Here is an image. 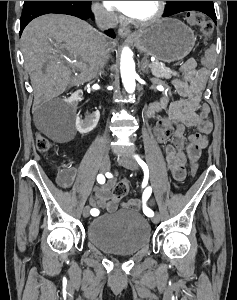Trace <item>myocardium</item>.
Here are the masks:
<instances>
[{
	"label": "myocardium",
	"instance_id": "1",
	"mask_svg": "<svg viewBox=\"0 0 237 300\" xmlns=\"http://www.w3.org/2000/svg\"><path fill=\"white\" fill-rule=\"evenodd\" d=\"M165 2L166 1H155V11L150 17L146 19H131L130 21L139 27H148L157 23L164 14Z\"/></svg>",
	"mask_w": 237,
	"mask_h": 300
}]
</instances>
